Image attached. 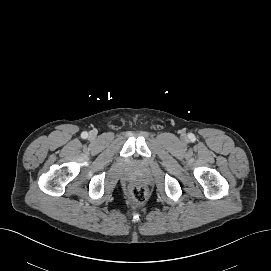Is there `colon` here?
Wrapping results in <instances>:
<instances>
[{"instance_id":"obj_1","label":"colon","mask_w":271,"mask_h":271,"mask_svg":"<svg viewBox=\"0 0 271 271\" xmlns=\"http://www.w3.org/2000/svg\"><path fill=\"white\" fill-rule=\"evenodd\" d=\"M132 201L137 205H142L145 203L148 197V192L146 188L141 185H134L130 191Z\"/></svg>"}]
</instances>
